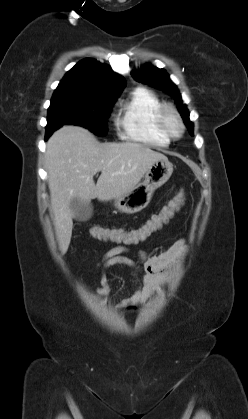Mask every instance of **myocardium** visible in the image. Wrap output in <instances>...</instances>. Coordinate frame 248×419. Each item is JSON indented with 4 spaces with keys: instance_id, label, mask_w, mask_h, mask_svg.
Segmentation results:
<instances>
[{
    "instance_id": "1",
    "label": "myocardium",
    "mask_w": 248,
    "mask_h": 419,
    "mask_svg": "<svg viewBox=\"0 0 248 419\" xmlns=\"http://www.w3.org/2000/svg\"><path fill=\"white\" fill-rule=\"evenodd\" d=\"M172 116L178 123V131L171 129L168 123V118ZM157 122L159 129L170 140H177L182 137L185 131V124L179 111L172 105H163L158 111Z\"/></svg>"
}]
</instances>
